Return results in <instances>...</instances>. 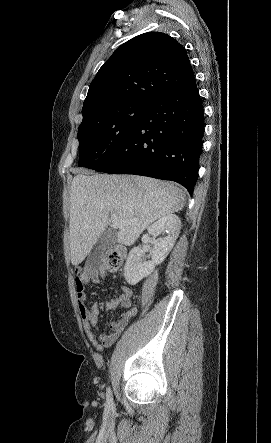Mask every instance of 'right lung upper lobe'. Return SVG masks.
<instances>
[{
  "mask_svg": "<svg viewBox=\"0 0 271 443\" xmlns=\"http://www.w3.org/2000/svg\"><path fill=\"white\" fill-rule=\"evenodd\" d=\"M194 82L180 43L160 32L141 34L117 48L99 69L84 101L83 121L100 108L128 100L150 103Z\"/></svg>",
  "mask_w": 271,
  "mask_h": 443,
  "instance_id": "1",
  "label": "right lung upper lobe"
}]
</instances>
